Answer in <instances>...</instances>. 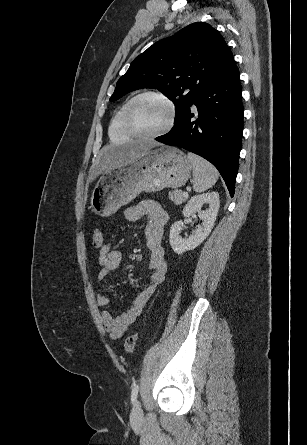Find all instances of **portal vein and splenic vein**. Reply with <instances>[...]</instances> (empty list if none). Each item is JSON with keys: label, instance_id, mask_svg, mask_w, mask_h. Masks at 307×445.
I'll list each match as a JSON object with an SVG mask.
<instances>
[{"label": "portal vein and splenic vein", "instance_id": "1", "mask_svg": "<svg viewBox=\"0 0 307 445\" xmlns=\"http://www.w3.org/2000/svg\"><path fill=\"white\" fill-rule=\"evenodd\" d=\"M187 190H191L190 186H187ZM184 196H188V192H183Z\"/></svg>", "mask_w": 307, "mask_h": 445}]
</instances>
